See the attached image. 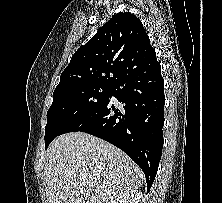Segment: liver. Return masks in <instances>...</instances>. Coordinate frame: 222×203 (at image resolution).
I'll return each instance as SVG.
<instances>
[{
	"label": "liver",
	"instance_id": "obj_1",
	"mask_svg": "<svg viewBox=\"0 0 222 203\" xmlns=\"http://www.w3.org/2000/svg\"><path fill=\"white\" fill-rule=\"evenodd\" d=\"M49 203H113L143 183V172L123 151L100 138L71 132L55 138L44 158Z\"/></svg>",
	"mask_w": 222,
	"mask_h": 203
}]
</instances>
